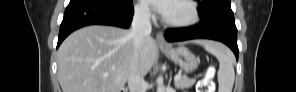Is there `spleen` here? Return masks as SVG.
I'll return each instance as SVG.
<instances>
[{
  "label": "spleen",
  "mask_w": 296,
  "mask_h": 92,
  "mask_svg": "<svg viewBox=\"0 0 296 92\" xmlns=\"http://www.w3.org/2000/svg\"><path fill=\"white\" fill-rule=\"evenodd\" d=\"M204 48L219 61L217 73L219 92H232L235 72L233 67L234 58L231 51L226 46L215 42H206Z\"/></svg>",
  "instance_id": "obj_1"
}]
</instances>
